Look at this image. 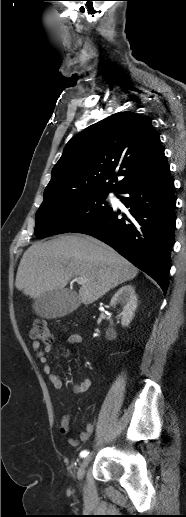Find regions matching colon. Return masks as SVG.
<instances>
[{"label": "colon", "instance_id": "obj_1", "mask_svg": "<svg viewBox=\"0 0 186 517\" xmlns=\"http://www.w3.org/2000/svg\"><path fill=\"white\" fill-rule=\"evenodd\" d=\"M31 336L37 341L49 343L53 340L50 327L44 320L37 319L33 322Z\"/></svg>", "mask_w": 186, "mask_h": 517}]
</instances>
